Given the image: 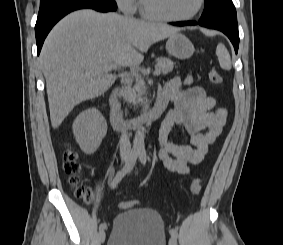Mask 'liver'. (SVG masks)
<instances>
[{
    "label": "liver",
    "instance_id": "6515ba94",
    "mask_svg": "<svg viewBox=\"0 0 283 245\" xmlns=\"http://www.w3.org/2000/svg\"><path fill=\"white\" fill-rule=\"evenodd\" d=\"M177 28L85 9L64 17L47 36L40 66L46 79L51 125L58 128L82 101L115 82L109 67L139 65L152 44Z\"/></svg>",
    "mask_w": 283,
    "mask_h": 245
}]
</instances>
